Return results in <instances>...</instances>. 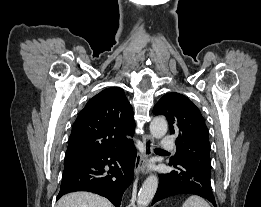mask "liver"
<instances>
[{
    "label": "liver",
    "mask_w": 261,
    "mask_h": 207,
    "mask_svg": "<svg viewBox=\"0 0 261 207\" xmlns=\"http://www.w3.org/2000/svg\"><path fill=\"white\" fill-rule=\"evenodd\" d=\"M56 207H114L109 200L90 192H73L64 195Z\"/></svg>",
    "instance_id": "liver-1"
}]
</instances>
